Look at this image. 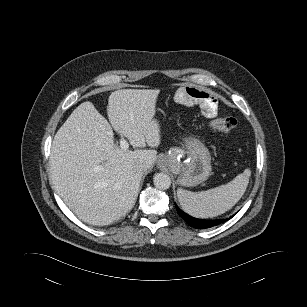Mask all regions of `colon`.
<instances>
[{
    "instance_id": "colon-1",
    "label": "colon",
    "mask_w": 307,
    "mask_h": 307,
    "mask_svg": "<svg viewBox=\"0 0 307 307\" xmlns=\"http://www.w3.org/2000/svg\"><path fill=\"white\" fill-rule=\"evenodd\" d=\"M209 128L214 131L230 133L237 128V120L232 117L216 118L209 123Z\"/></svg>"
}]
</instances>
